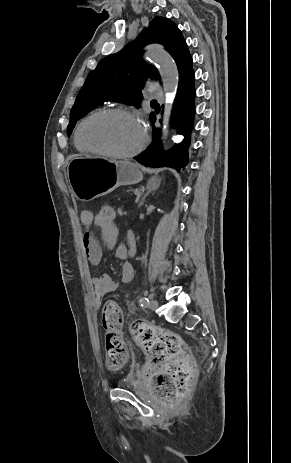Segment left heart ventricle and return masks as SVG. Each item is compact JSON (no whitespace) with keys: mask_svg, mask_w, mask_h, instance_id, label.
I'll return each instance as SVG.
<instances>
[{"mask_svg":"<svg viewBox=\"0 0 291 463\" xmlns=\"http://www.w3.org/2000/svg\"><path fill=\"white\" fill-rule=\"evenodd\" d=\"M82 137L93 147L122 153L138 146L142 130L131 118L113 115L90 120L83 128Z\"/></svg>","mask_w":291,"mask_h":463,"instance_id":"obj_1","label":"left heart ventricle"}]
</instances>
